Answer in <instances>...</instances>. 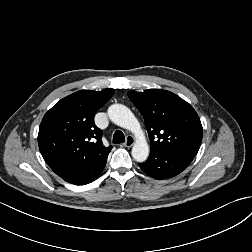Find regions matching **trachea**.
<instances>
[{
    "instance_id": "1",
    "label": "trachea",
    "mask_w": 252,
    "mask_h": 252,
    "mask_svg": "<svg viewBox=\"0 0 252 252\" xmlns=\"http://www.w3.org/2000/svg\"><path fill=\"white\" fill-rule=\"evenodd\" d=\"M125 142V137L122 131L117 130L115 131L114 135H113V143H123Z\"/></svg>"
}]
</instances>
